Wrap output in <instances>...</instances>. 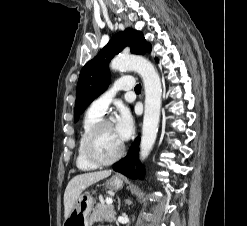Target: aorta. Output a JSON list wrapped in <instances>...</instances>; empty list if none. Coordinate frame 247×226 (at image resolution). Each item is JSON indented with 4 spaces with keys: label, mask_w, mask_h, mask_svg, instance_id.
Listing matches in <instances>:
<instances>
[{
    "label": "aorta",
    "mask_w": 247,
    "mask_h": 226,
    "mask_svg": "<svg viewBox=\"0 0 247 226\" xmlns=\"http://www.w3.org/2000/svg\"><path fill=\"white\" fill-rule=\"evenodd\" d=\"M113 70H133L143 79L145 110L140 143V159L145 160L155 143L160 121L162 86L154 66L146 58L136 55L118 56L111 61Z\"/></svg>",
    "instance_id": "1"
}]
</instances>
